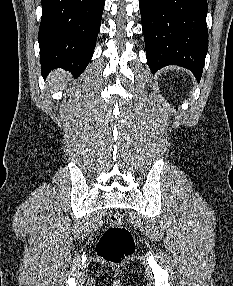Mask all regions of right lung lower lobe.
Masks as SVG:
<instances>
[{"mask_svg":"<svg viewBox=\"0 0 233 286\" xmlns=\"http://www.w3.org/2000/svg\"><path fill=\"white\" fill-rule=\"evenodd\" d=\"M105 0H41L38 42L42 75L55 68L77 77L92 58Z\"/></svg>","mask_w":233,"mask_h":286,"instance_id":"right-lung-lower-lobe-1","label":"right lung lower lobe"}]
</instances>
